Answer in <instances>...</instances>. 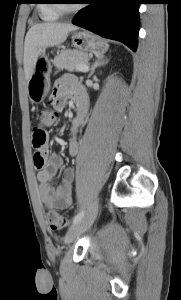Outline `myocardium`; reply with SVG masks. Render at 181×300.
I'll return each mask as SVG.
<instances>
[{
  "label": "myocardium",
  "instance_id": "1",
  "mask_svg": "<svg viewBox=\"0 0 181 300\" xmlns=\"http://www.w3.org/2000/svg\"><path fill=\"white\" fill-rule=\"evenodd\" d=\"M54 9L60 14H70L78 10V7L68 6L65 3H61L59 0H52Z\"/></svg>",
  "mask_w": 181,
  "mask_h": 300
}]
</instances>
